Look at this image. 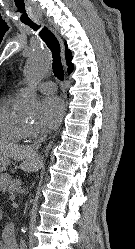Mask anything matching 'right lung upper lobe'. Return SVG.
Here are the masks:
<instances>
[{
	"label": "right lung upper lobe",
	"instance_id": "obj_1",
	"mask_svg": "<svg viewBox=\"0 0 135 249\" xmlns=\"http://www.w3.org/2000/svg\"><path fill=\"white\" fill-rule=\"evenodd\" d=\"M65 56H66V61L68 64V73L70 74L73 70V64L71 63V59H72V54L71 51L69 49H67V44L65 43Z\"/></svg>",
	"mask_w": 135,
	"mask_h": 249
}]
</instances>
